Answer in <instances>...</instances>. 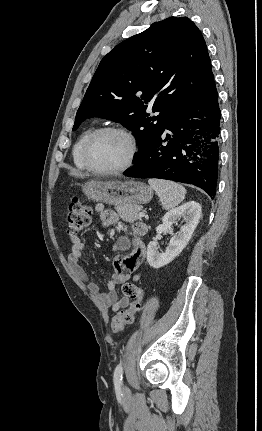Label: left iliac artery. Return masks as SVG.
Here are the masks:
<instances>
[{
    "instance_id": "44dca946",
    "label": "left iliac artery",
    "mask_w": 262,
    "mask_h": 431,
    "mask_svg": "<svg viewBox=\"0 0 262 431\" xmlns=\"http://www.w3.org/2000/svg\"><path fill=\"white\" fill-rule=\"evenodd\" d=\"M122 375H123V367L122 363L120 362L114 371V384L117 386H120L122 384Z\"/></svg>"
}]
</instances>
